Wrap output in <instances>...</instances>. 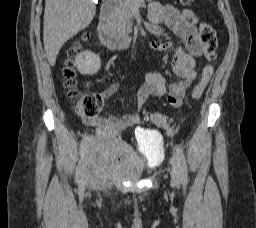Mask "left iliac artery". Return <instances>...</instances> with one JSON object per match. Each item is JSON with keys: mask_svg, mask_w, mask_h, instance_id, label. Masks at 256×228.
Segmentation results:
<instances>
[{"mask_svg": "<svg viewBox=\"0 0 256 228\" xmlns=\"http://www.w3.org/2000/svg\"><path fill=\"white\" fill-rule=\"evenodd\" d=\"M175 153L179 160L180 175L183 184L187 183V163L182 149L179 146H175Z\"/></svg>", "mask_w": 256, "mask_h": 228, "instance_id": "obj_1", "label": "left iliac artery"}]
</instances>
